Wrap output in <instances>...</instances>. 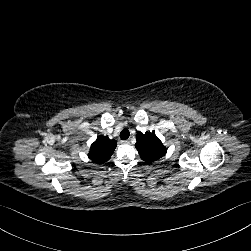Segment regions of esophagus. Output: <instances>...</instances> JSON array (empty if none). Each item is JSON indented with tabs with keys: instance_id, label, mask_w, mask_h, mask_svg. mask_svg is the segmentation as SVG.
I'll return each instance as SVG.
<instances>
[{
	"instance_id": "obj_1",
	"label": "esophagus",
	"mask_w": 251,
	"mask_h": 251,
	"mask_svg": "<svg viewBox=\"0 0 251 251\" xmlns=\"http://www.w3.org/2000/svg\"><path fill=\"white\" fill-rule=\"evenodd\" d=\"M130 141L129 140H121L120 143L121 144H128Z\"/></svg>"
}]
</instances>
